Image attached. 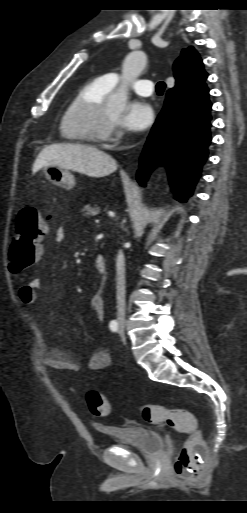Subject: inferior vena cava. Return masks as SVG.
Instances as JSON below:
<instances>
[{
    "instance_id": "602c4592",
    "label": "inferior vena cava",
    "mask_w": 247,
    "mask_h": 513,
    "mask_svg": "<svg viewBox=\"0 0 247 513\" xmlns=\"http://www.w3.org/2000/svg\"><path fill=\"white\" fill-rule=\"evenodd\" d=\"M117 317L118 319L124 318L125 315V269H124V255L123 252L120 251L117 260Z\"/></svg>"
}]
</instances>
